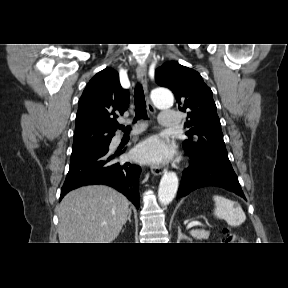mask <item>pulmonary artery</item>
Masks as SVG:
<instances>
[{
    "instance_id": "obj_1",
    "label": "pulmonary artery",
    "mask_w": 288,
    "mask_h": 288,
    "mask_svg": "<svg viewBox=\"0 0 288 288\" xmlns=\"http://www.w3.org/2000/svg\"><path fill=\"white\" fill-rule=\"evenodd\" d=\"M180 121V114L173 110H162L159 117V125L165 128H176ZM140 131L139 127H136L132 133Z\"/></svg>"
}]
</instances>
